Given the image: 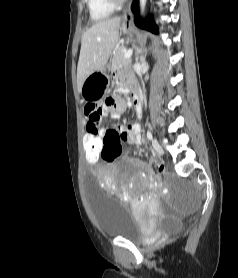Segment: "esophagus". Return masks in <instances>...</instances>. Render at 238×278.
<instances>
[{
  "label": "esophagus",
  "mask_w": 238,
  "mask_h": 278,
  "mask_svg": "<svg viewBox=\"0 0 238 278\" xmlns=\"http://www.w3.org/2000/svg\"><path fill=\"white\" fill-rule=\"evenodd\" d=\"M124 23L129 25L133 23V14L130 9L124 14Z\"/></svg>",
  "instance_id": "1"
}]
</instances>
